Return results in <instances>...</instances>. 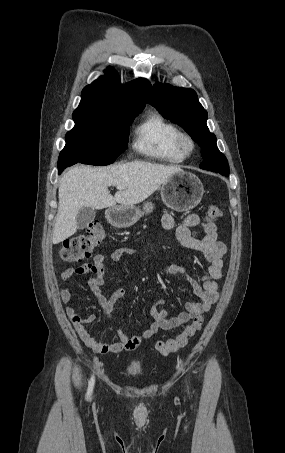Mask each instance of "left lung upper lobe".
I'll return each instance as SVG.
<instances>
[{
  "mask_svg": "<svg viewBox=\"0 0 285 453\" xmlns=\"http://www.w3.org/2000/svg\"><path fill=\"white\" fill-rule=\"evenodd\" d=\"M148 102L166 119L177 123L200 146L203 161L200 168L229 176L227 158L218 150L216 137L206 125L207 111L192 89L157 83Z\"/></svg>",
  "mask_w": 285,
  "mask_h": 453,
  "instance_id": "5c2ea615",
  "label": "left lung upper lobe"
}]
</instances>
